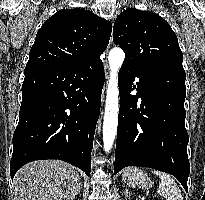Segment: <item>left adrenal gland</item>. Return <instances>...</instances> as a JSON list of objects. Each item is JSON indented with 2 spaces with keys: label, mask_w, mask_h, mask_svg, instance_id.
Segmentation results:
<instances>
[{
  "label": "left adrenal gland",
  "mask_w": 205,
  "mask_h": 200,
  "mask_svg": "<svg viewBox=\"0 0 205 200\" xmlns=\"http://www.w3.org/2000/svg\"><path fill=\"white\" fill-rule=\"evenodd\" d=\"M124 195H125V200H127V198H128L129 195H130L129 190H128L127 187L125 188Z\"/></svg>",
  "instance_id": "1"
}]
</instances>
